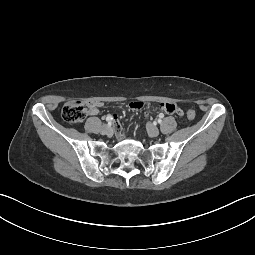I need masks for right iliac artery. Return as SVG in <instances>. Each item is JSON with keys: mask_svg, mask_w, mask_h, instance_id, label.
<instances>
[{"mask_svg": "<svg viewBox=\"0 0 255 255\" xmlns=\"http://www.w3.org/2000/svg\"><path fill=\"white\" fill-rule=\"evenodd\" d=\"M112 120H113L112 115H108V116L106 117V121H107V122H111Z\"/></svg>", "mask_w": 255, "mask_h": 255, "instance_id": "right-iliac-artery-1", "label": "right iliac artery"}]
</instances>
